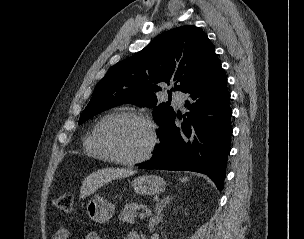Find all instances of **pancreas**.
Listing matches in <instances>:
<instances>
[{"label":"pancreas","mask_w":304,"mask_h":239,"mask_svg":"<svg viewBox=\"0 0 304 239\" xmlns=\"http://www.w3.org/2000/svg\"><path fill=\"white\" fill-rule=\"evenodd\" d=\"M141 207L142 205H138L137 203L126 204L119 215V220L121 222L134 223L137 210Z\"/></svg>","instance_id":"pancreas-1"}]
</instances>
